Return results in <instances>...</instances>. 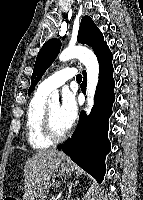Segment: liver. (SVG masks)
Listing matches in <instances>:
<instances>
[{"label":"liver","instance_id":"obj_1","mask_svg":"<svg viewBox=\"0 0 143 200\" xmlns=\"http://www.w3.org/2000/svg\"><path fill=\"white\" fill-rule=\"evenodd\" d=\"M67 156L57 150H39L24 167V200H45L51 186L50 177L58 172Z\"/></svg>","mask_w":143,"mask_h":200}]
</instances>
